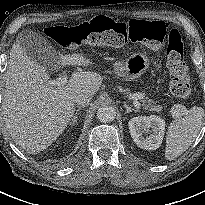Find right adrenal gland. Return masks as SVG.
Masks as SVG:
<instances>
[{
	"label": "right adrenal gland",
	"mask_w": 205,
	"mask_h": 205,
	"mask_svg": "<svg viewBox=\"0 0 205 205\" xmlns=\"http://www.w3.org/2000/svg\"><path fill=\"white\" fill-rule=\"evenodd\" d=\"M82 109H83V107H79V108L76 110V112H75L73 118L71 119L70 125H72V124H74V123L77 122L79 111H81Z\"/></svg>",
	"instance_id": "1"
}]
</instances>
